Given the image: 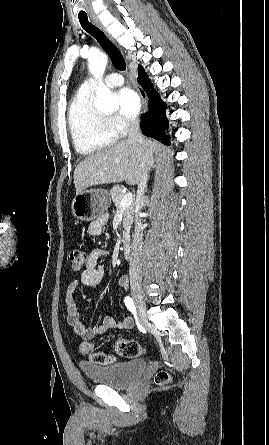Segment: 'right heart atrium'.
I'll list each match as a JSON object with an SVG mask.
<instances>
[{
  "mask_svg": "<svg viewBox=\"0 0 269 445\" xmlns=\"http://www.w3.org/2000/svg\"><path fill=\"white\" fill-rule=\"evenodd\" d=\"M109 124L117 136H124L135 125L134 119L121 116H112L108 118Z\"/></svg>",
  "mask_w": 269,
  "mask_h": 445,
  "instance_id": "obj_1",
  "label": "right heart atrium"
}]
</instances>
